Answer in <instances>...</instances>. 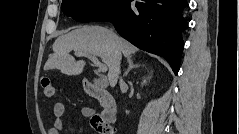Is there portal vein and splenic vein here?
<instances>
[{
  "instance_id": "portal-vein-and-splenic-vein-1",
  "label": "portal vein and splenic vein",
  "mask_w": 239,
  "mask_h": 134,
  "mask_svg": "<svg viewBox=\"0 0 239 134\" xmlns=\"http://www.w3.org/2000/svg\"><path fill=\"white\" fill-rule=\"evenodd\" d=\"M76 54L79 56H85V57L89 58L94 63V65L98 68V70L100 72L107 71V66L105 64L101 63L95 55H90V54L83 53V52H76Z\"/></svg>"
}]
</instances>
